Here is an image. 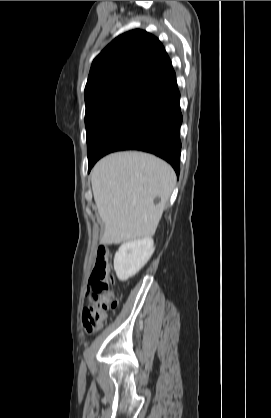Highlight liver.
<instances>
[{
  "mask_svg": "<svg viewBox=\"0 0 271 418\" xmlns=\"http://www.w3.org/2000/svg\"><path fill=\"white\" fill-rule=\"evenodd\" d=\"M176 183L173 168L142 152L110 154L96 163L91 184L105 229L104 245L151 238ZM156 197L159 204L154 203Z\"/></svg>",
  "mask_w": 271,
  "mask_h": 418,
  "instance_id": "1",
  "label": "liver"
}]
</instances>
